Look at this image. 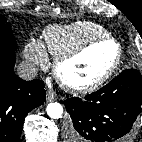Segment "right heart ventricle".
<instances>
[{
	"label": "right heart ventricle",
	"instance_id": "e07e8e85",
	"mask_svg": "<svg viewBox=\"0 0 142 142\" xmlns=\"http://www.w3.org/2000/svg\"><path fill=\"white\" fill-rule=\"evenodd\" d=\"M108 35L105 28L90 21H79L69 25H51L43 33V47L57 58L85 42Z\"/></svg>",
	"mask_w": 142,
	"mask_h": 142
}]
</instances>
